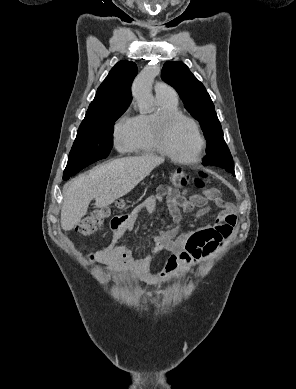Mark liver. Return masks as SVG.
I'll return each mask as SVG.
<instances>
[{"instance_id":"6515ba94","label":"liver","mask_w":296,"mask_h":389,"mask_svg":"<svg viewBox=\"0 0 296 389\" xmlns=\"http://www.w3.org/2000/svg\"><path fill=\"white\" fill-rule=\"evenodd\" d=\"M164 162L163 157L147 154L115 159L74 179L64 191L61 227L72 230L87 214L91 200L104 208L134 189L151 171Z\"/></svg>"}]
</instances>
